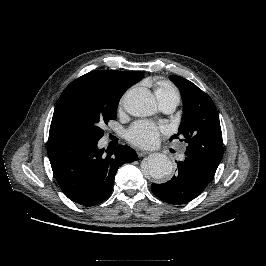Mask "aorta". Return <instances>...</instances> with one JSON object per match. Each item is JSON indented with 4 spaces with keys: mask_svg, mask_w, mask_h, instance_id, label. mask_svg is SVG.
<instances>
[{
    "mask_svg": "<svg viewBox=\"0 0 266 266\" xmlns=\"http://www.w3.org/2000/svg\"><path fill=\"white\" fill-rule=\"evenodd\" d=\"M123 106L127 113L132 116L146 117L155 112L156 100L147 90L132 89L125 94ZM172 170V162L162 153L149 155L146 162L142 165V171L154 179H162L169 176Z\"/></svg>",
    "mask_w": 266,
    "mask_h": 266,
    "instance_id": "aorta-1",
    "label": "aorta"
}]
</instances>
